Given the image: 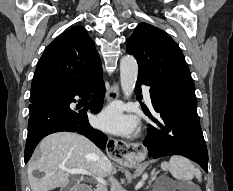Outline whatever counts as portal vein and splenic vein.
<instances>
[{
	"label": "portal vein and splenic vein",
	"instance_id": "18ae733b",
	"mask_svg": "<svg viewBox=\"0 0 233 191\" xmlns=\"http://www.w3.org/2000/svg\"><path fill=\"white\" fill-rule=\"evenodd\" d=\"M59 168L69 174H82V175H89V176H92L99 184H102L104 186H106L107 182L101 178V177H98V176H95L93 174H91L90 172H88L87 170H84V169H70V168H67L63 165H60Z\"/></svg>",
	"mask_w": 233,
	"mask_h": 191
}]
</instances>
